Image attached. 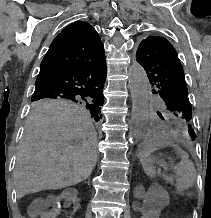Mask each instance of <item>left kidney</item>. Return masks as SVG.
<instances>
[{"instance_id": "1", "label": "left kidney", "mask_w": 211, "mask_h": 218, "mask_svg": "<svg viewBox=\"0 0 211 218\" xmlns=\"http://www.w3.org/2000/svg\"><path fill=\"white\" fill-rule=\"evenodd\" d=\"M146 193H149V190ZM135 214L145 215V218H164L166 210L164 207H155V198H144V202H138Z\"/></svg>"}]
</instances>
